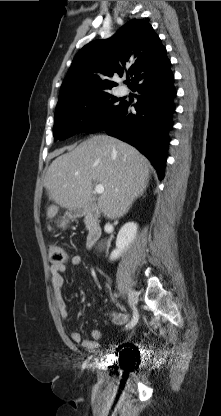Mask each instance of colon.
<instances>
[{
    "label": "colon",
    "instance_id": "colon-1",
    "mask_svg": "<svg viewBox=\"0 0 221 416\" xmlns=\"http://www.w3.org/2000/svg\"><path fill=\"white\" fill-rule=\"evenodd\" d=\"M48 252H49V260L52 264L60 265L66 261V257H67L66 251L60 245L55 244V243L50 244L48 248Z\"/></svg>",
    "mask_w": 221,
    "mask_h": 416
}]
</instances>
